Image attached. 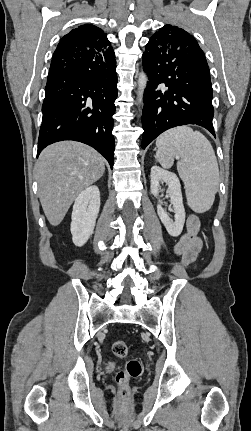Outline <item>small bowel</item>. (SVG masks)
I'll return each mask as SVG.
<instances>
[{
	"instance_id": "1",
	"label": "small bowel",
	"mask_w": 251,
	"mask_h": 431,
	"mask_svg": "<svg viewBox=\"0 0 251 431\" xmlns=\"http://www.w3.org/2000/svg\"><path fill=\"white\" fill-rule=\"evenodd\" d=\"M200 221L197 216L190 215L187 218L185 230L179 235L174 245V253L181 258L183 265H195L202 249V239L198 232Z\"/></svg>"
}]
</instances>
